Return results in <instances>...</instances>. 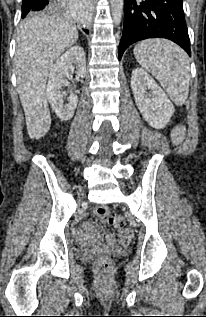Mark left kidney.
I'll use <instances>...</instances> for the list:
<instances>
[{"label": "left kidney", "mask_w": 206, "mask_h": 317, "mask_svg": "<svg viewBox=\"0 0 206 317\" xmlns=\"http://www.w3.org/2000/svg\"><path fill=\"white\" fill-rule=\"evenodd\" d=\"M131 88L143 118L154 128H164L174 113V106L161 87L137 67L132 72Z\"/></svg>", "instance_id": "1"}]
</instances>
